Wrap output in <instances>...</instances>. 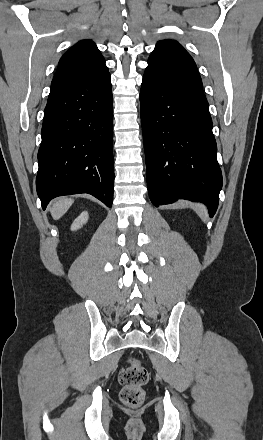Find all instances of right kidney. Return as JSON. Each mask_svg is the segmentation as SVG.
I'll list each match as a JSON object with an SVG mask.
<instances>
[{
    "label": "right kidney",
    "mask_w": 263,
    "mask_h": 440,
    "mask_svg": "<svg viewBox=\"0 0 263 440\" xmlns=\"http://www.w3.org/2000/svg\"><path fill=\"white\" fill-rule=\"evenodd\" d=\"M87 220H88V212L84 211L74 220V222L71 225V230L75 231L80 229L83 226V224L87 222Z\"/></svg>",
    "instance_id": "1"
}]
</instances>
